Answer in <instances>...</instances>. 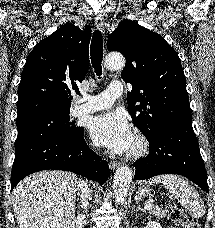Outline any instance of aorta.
Returning a JSON list of instances; mask_svg holds the SVG:
<instances>
[{
  "mask_svg": "<svg viewBox=\"0 0 215 228\" xmlns=\"http://www.w3.org/2000/svg\"><path fill=\"white\" fill-rule=\"evenodd\" d=\"M105 62L107 68H111V70H122L125 66V58L124 56H121V54H108ZM132 180L133 172L131 168H127V166L117 168L113 178L112 188L115 202H117L119 206H123L124 202H126Z\"/></svg>",
  "mask_w": 215,
  "mask_h": 228,
  "instance_id": "aorta-1",
  "label": "aorta"
}]
</instances>
